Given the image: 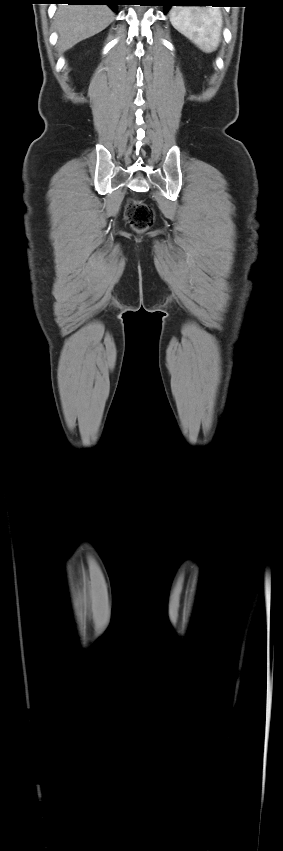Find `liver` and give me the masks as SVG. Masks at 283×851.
I'll return each instance as SVG.
<instances>
[{
  "mask_svg": "<svg viewBox=\"0 0 283 851\" xmlns=\"http://www.w3.org/2000/svg\"><path fill=\"white\" fill-rule=\"evenodd\" d=\"M114 20L105 5L59 6L55 15L58 51L65 52L77 43L103 31Z\"/></svg>",
  "mask_w": 283,
  "mask_h": 851,
  "instance_id": "1",
  "label": "liver"
}]
</instances>
